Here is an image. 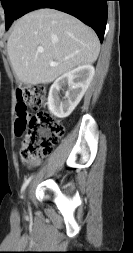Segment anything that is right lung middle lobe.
Segmentation results:
<instances>
[{
	"label": "right lung middle lobe",
	"mask_w": 133,
	"mask_h": 253,
	"mask_svg": "<svg viewBox=\"0 0 133 253\" xmlns=\"http://www.w3.org/2000/svg\"><path fill=\"white\" fill-rule=\"evenodd\" d=\"M5 10V26L6 30L10 27L12 22L16 19L20 7L24 0H0Z\"/></svg>",
	"instance_id": "dd1d6c3e"
}]
</instances>
